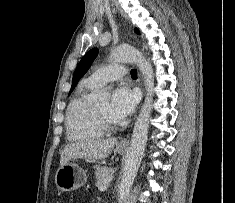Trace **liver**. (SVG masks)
Masks as SVG:
<instances>
[{
  "label": "liver",
  "mask_w": 235,
  "mask_h": 203,
  "mask_svg": "<svg viewBox=\"0 0 235 203\" xmlns=\"http://www.w3.org/2000/svg\"><path fill=\"white\" fill-rule=\"evenodd\" d=\"M116 138L94 139L85 142L71 143L61 152L60 166L73 159L102 160L112 152Z\"/></svg>",
  "instance_id": "liver-1"
}]
</instances>
